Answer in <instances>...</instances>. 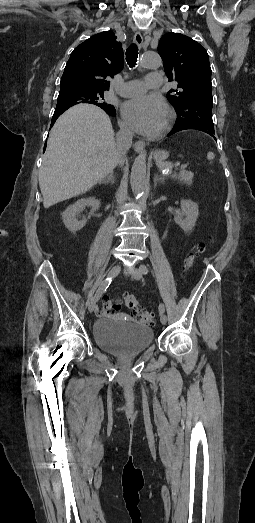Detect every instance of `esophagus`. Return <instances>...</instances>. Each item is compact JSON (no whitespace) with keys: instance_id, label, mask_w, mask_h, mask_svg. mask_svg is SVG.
Returning <instances> with one entry per match:
<instances>
[{"instance_id":"obj_1","label":"esophagus","mask_w":255,"mask_h":523,"mask_svg":"<svg viewBox=\"0 0 255 523\" xmlns=\"http://www.w3.org/2000/svg\"><path fill=\"white\" fill-rule=\"evenodd\" d=\"M134 42L138 47H140L143 43V38L140 32H136L134 35ZM134 149L137 153H146V143L142 140H139L138 142L134 143Z\"/></svg>"}]
</instances>
